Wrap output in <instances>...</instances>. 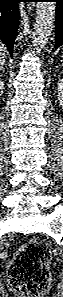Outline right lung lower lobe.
Here are the masks:
<instances>
[{
	"label": "right lung lower lobe",
	"instance_id": "98d812e1",
	"mask_svg": "<svg viewBox=\"0 0 63 297\" xmlns=\"http://www.w3.org/2000/svg\"><path fill=\"white\" fill-rule=\"evenodd\" d=\"M0 40L12 56L14 41L19 25V0H0Z\"/></svg>",
	"mask_w": 63,
	"mask_h": 297
}]
</instances>
